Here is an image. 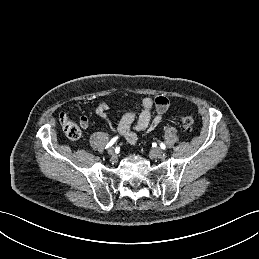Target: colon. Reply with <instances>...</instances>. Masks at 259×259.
<instances>
[{"label": "colon", "instance_id": "colon-1", "mask_svg": "<svg viewBox=\"0 0 259 259\" xmlns=\"http://www.w3.org/2000/svg\"><path fill=\"white\" fill-rule=\"evenodd\" d=\"M61 125L66 137L70 140H78L82 135V130L76 123L67 119L65 115H61ZM180 127L190 132L194 125V120L191 116H182L179 120Z\"/></svg>", "mask_w": 259, "mask_h": 259}]
</instances>
